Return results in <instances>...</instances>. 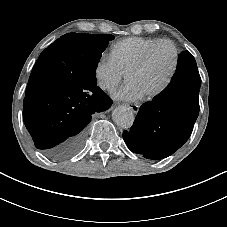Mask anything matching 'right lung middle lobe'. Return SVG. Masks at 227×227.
Masks as SVG:
<instances>
[{
  "instance_id": "obj_1",
  "label": "right lung middle lobe",
  "mask_w": 227,
  "mask_h": 227,
  "mask_svg": "<svg viewBox=\"0 0 227 227\" xmlns=\"http://www.w3.org/2000/svg\"><path fill=\"white\" fill-rule=\"evenodd\" d=\"M113 39L109 34L67 33L61 36L40 54L25 94L50 82L69 88L96 83L97 64Z\"/></svg>"
}]
</instances>
